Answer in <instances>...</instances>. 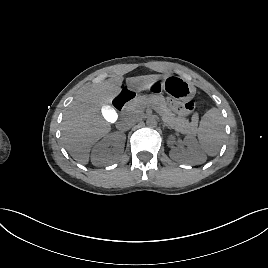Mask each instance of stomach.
Masks as SVG:
<instances>
[{"instance_id": "1", "label": "stomach", "mask_w": 268, "mask_h": 268, "mask_svg": "<svg viewBox=\"0 0 268 268\" xmlns=\"http://www.w3.org/2000/svg\"><path fill=\"white\" fill-rule=\"evenodd\" d=\"M162 89H166L171 97L180 101L192 99L196 92L195 87L190 81L184 79L183 77L174 75L154 81L146 87H138L137 92L153 91L157 93Z\"/></svg>"}]
</instances>
